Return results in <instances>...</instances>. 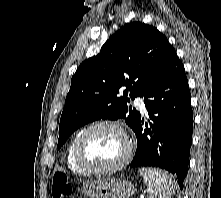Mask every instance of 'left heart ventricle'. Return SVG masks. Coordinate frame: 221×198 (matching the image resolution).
<instances>
[{
  "mask_svg": "<svg viewBox=\"0 0 221 198\" xmlns=\"http://www.w3.org/2000/svg\"><path fill=\"white\" fill-rule=\"evenodd\" d=\"M126 143L114 129L99 128L90 132L83 140L84 160L95 167H107L117 163L124 155Z\"/></svg>",
  "mask_w": 221,
  "mask_h": 198,
  "instance_id": "b2bd125f",
  "label": "left heart ventricle"
}]
</instances>
